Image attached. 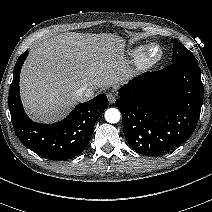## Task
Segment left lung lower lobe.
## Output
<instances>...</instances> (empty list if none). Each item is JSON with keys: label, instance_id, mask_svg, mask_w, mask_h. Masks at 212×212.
<instances>
[{"label": "left lung lower lobe", "instance_id": "0a47b994", "mask_svg": "<svg viewBox=\"0 0 212 212\" xmlns=\"http://www.w3.org/2000/svg\"><path fill=\"white\" fill-rule=\"evenodd\" d=\"M119 96L115 104L129 145L143 155L166 153L196 128L203 103L198 63L146 72L123 86Z\"/></svg>", "mask_w": 212, "mask_h": 212}]
</instances>
